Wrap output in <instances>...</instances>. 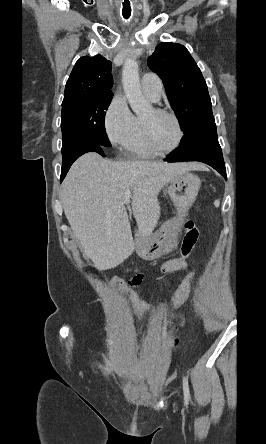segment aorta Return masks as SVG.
Listing matches in <instances>:
<instances>
[{"instance_id":"762f6f07","label":"aorta","mask_w":266,"mask_h":444,"mask_svg":"<svg viewBox=\"0 0 266 444\" xmlns=\"http://www.w3.org/2000/svg\"><path fill=\"white\" fill-rule=\"evenodd\" d=\"M122 83L125 95L133 112L136 115L144 114L150 108V104L141 91L139 68L136 59H127L124 63Z\"/></svg>"}]
</instances>
